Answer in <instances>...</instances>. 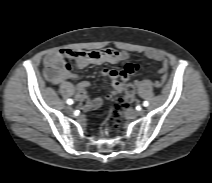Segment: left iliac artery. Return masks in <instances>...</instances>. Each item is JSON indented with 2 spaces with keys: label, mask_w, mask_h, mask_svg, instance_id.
<instances>
[{
  "label": "left iliac artery",
  "mask_w": 212,
  "mask_h": 183,
  "mask_svg": "<svg viewBox=\"0 0 212 183\" xmlns=\"http://www.w3.org/2000/svg\"><path fill=\"white\" fill-rule=\"evenodd\" d=\"M149 105L148 101L143 102V106L147 107Z\"/></svg>",
  "instance_id": "left-iliac-artery-1"
}]
</instances>
